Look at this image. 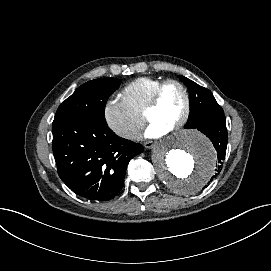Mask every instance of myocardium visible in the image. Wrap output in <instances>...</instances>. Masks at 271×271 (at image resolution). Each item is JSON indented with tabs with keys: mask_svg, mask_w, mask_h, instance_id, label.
I'll list each match as a JSON object with an SVG mask.
<instances>
[{
	"mask_svg": "<svg viewBox=\"0 0 271 271\" xmlns=\"http://www.w3.org/2000/svg\"><path fill=\"white\" fill-rule=\"evenodd\" d=\"M169 84H176L178 85L184 92L186 97V110L183 116L175 123V125L172 127V129L169 132H175L182 127H184L188 121L191 118L192 115V109H193V101H192V95L188 88V86L181 80L176 78H170V79H164L159 83V85L155 88V90L152 93L151 100L145 110L144 117L147 122H149V114L156 110L160 104V98L161 94L164 90V88Z\"/></svg>",
	"mask_w": 271,
	"mask_h": 271,
	"instance_id": "1",
	"label": "myocardium"
}]
</instances>
